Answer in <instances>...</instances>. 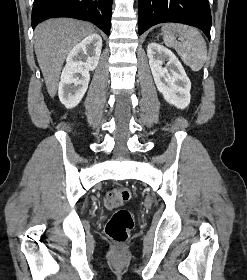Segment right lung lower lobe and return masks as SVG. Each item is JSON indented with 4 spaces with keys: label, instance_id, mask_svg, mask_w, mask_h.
I'll list each match as a JSON object with an SVG mask.
<instances>
[{
    "label": "right lung lower lobe",
    "instance_id": "98d812e1",
    "mask_svg": "<svg viewBox=\"0 0 247 280\" xmlns=\"http://www.w3.org/2000/svg\"><path fill=\"white\" fill-rule=\"evenodd\" d=\"M113 0H34L32 27L53 17H71L95 23L107 35L111 28Z\"/></svg>",
    "mask_w": 247,
    "mask_h": 280
}]
</instances>
